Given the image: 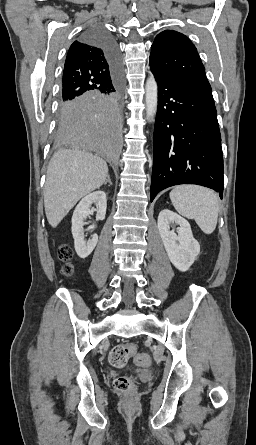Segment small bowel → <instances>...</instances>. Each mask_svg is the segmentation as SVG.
Returning <instances> with one entry per match:
<instances>
[{
  "mask_svg": "<svg viewBox=\"0 0 256 445\" xmlns=\"http://www.w3.org/2000/svg\"><path fill=\"white\" fill-rule=\"evenodd\" d=\"M139 357H143V358H145V360H144L143 362H141L140 364H141L143 367H147L148 364H149V358H148V356L145 355V354H140Z\"/></svg>",
  "mask_w": 256,
  "mask_h": 445,
  "instance_id": "c3829d8e",
  "label": "small bowel"
}]
</instances>
